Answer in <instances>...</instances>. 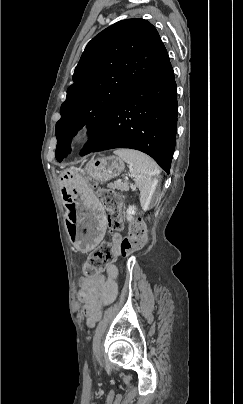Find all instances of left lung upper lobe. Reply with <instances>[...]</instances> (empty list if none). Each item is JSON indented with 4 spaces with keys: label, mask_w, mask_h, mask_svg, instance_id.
Masks as SVG:
<instances>
[{
    "label": "left lung upper lobe",
    "mask_w": 243,
    "mask_h": 404,
    "mask_svg": "<svg viewBox=\"0 0 243 404\" xmlns=\"http://www.w3.org/2000/svg\"><path fill=\"white\" fill-rule=\"evenodd\" d=\"M167 59L156 28L144 19L122 20L96 35L76 66L74 83L61 105L55 132L57 161L71 151L72 135L86 125L91 136L106 115Z\"/></svg>",
    "instance_id": "1"
}]
</instances>
